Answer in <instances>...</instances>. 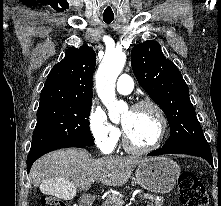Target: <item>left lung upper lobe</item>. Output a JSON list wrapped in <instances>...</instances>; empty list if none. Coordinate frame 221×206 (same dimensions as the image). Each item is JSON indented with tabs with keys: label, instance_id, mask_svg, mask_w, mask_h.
I'll use <instances>...</instances> for the list:
<instances>
[{
	"label": "left lung upper lobe",
	"instance_id": "obj_1",
	"mask_svg": "<svg viewBox=\"0 0 221 206\" xmlns=\"http://www.w3.org/2000/svg\"><path fill=\"white\" fill-rule=\"evenodd\" d=\"M133 72L150 98L165 113L170 126V137L164 148H210L194 107L189 89L180 71L166 59L156 41H145L131 51Z\"/></svg>",
	"mask_w": 221,
	"mask_h": 206
}]
</instances>
